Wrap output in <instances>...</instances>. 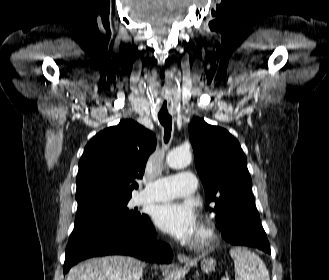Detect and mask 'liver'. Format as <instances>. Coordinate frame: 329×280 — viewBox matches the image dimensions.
Segmentation results:
<instances>
[{
	"instance_id": "obj_1",
	"label": "liver",
	"mask_w": 329,
	"mask_h": 280,
	"mask_svg": "<svg viewBox=\"0 0 329 280\" xmlns=\"http://www.w3.org/2000/svg\"><path fill=\"white\" fill-rule=\"evenodd\" d=\"M145 264L133 257L106 256L73 267L65 280H140Z\"/></svg>"
}]
</instances>
